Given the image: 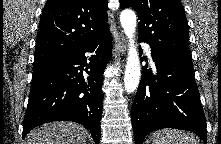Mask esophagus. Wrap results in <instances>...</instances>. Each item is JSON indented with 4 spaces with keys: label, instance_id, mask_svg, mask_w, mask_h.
<instances>
[{
    "label": "esophagus",
    "instance_id": "esophagus-1",
    "mask_svg": "<svg viewBox=\"0 0 221 144\" xmlns=\"http://www.w3.org/2000/svg\"><path fill=\"white\" fill-rule=\"evenodd\" d=\"M117 44H118L120 54H122V55L125 54V52H126V38L122 32L119 34V39L117 41Z\"/></svg>",
    "mask_w": 221,
    "mask_h": 144
}]
</instances>
